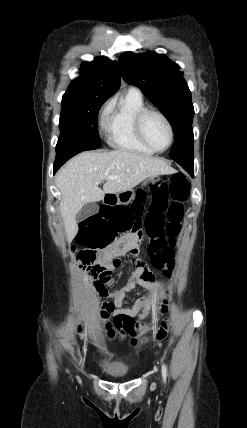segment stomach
I'll list each match as a JSON object with an SVG mask.
<instances>
[{"instance_id":"stomach-1","label":"stomach","mask_w":247,"mask_h":428,"mask_svg":"<svg viewBox=\"0 0 247 428\" xmlns=\"http://www.w3.org/2000/svg\"><path fill=\"white\" fill-rule=\"evenodd\" d=\"M160 180H161V178L159 175L152 176V177L146 179L143 182L142 186H148L150 184H155V183H158ZM135 196L136 195H135L134 190L131 189L129 191H125V192L120 193L119 195H117V198L119 199V201H121V199L126 198L125 200H122V202H131L132 200L135 199Z\"/></svg>"}]
</instances>
